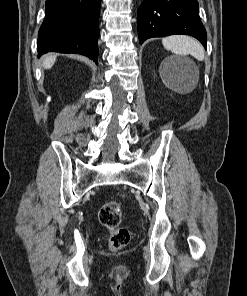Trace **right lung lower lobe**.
<instances>
[{
    "mask_svg": "<svg viewBox=\"0 0 247 296\" xmlns=\"http://www.w3.org/2000/svg\"><path fill=\"white\" fill-rule=\"evenodd\" d=\"M101 0H46L39 29L38 56L47 52L78 53L97 63Z\"/></svg>",
    "mask_w": 247,
    "mask_h": 296,
    "instance_id": "obj_1",
    "label": "right lung lower lobe"
}]
</instances>
